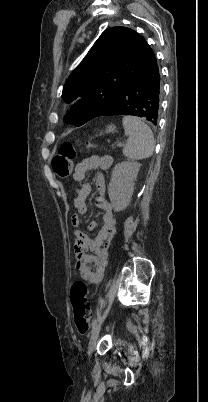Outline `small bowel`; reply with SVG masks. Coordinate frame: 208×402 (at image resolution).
I'll list each match as a JSON object with an SVG mask.
<instances>
[{
    "instance_id": "c3829d8e",
    "label": "small bowel",
    "mask_w": 208,
    "mask_h": 402,
    "mask_svg": "<svg viewBox=\"0 0 208 402\" xmlns=\"http://www.w3.org/2000/svg\"><path fill=\"white\" fill-rule=\"evenodd\" d=\"M113 160L109 156H92L77 163L73 179L77 182L85 180L87 172L92 169L99 168L106 170L111 167ZM95 185L98 190L97 205L103 211L102 227L93 243H90L86 235L79 229L80 218L78 214L87 212V198L91 193L92 187L89 183H85L77 188L75 195V206L78 214H73L71 223L75 228L73 235L75 238L74 254L76 258V266L81 275L90 283H99L103 279L104 269L108 255V245L110 240L116 233L117 221L111 205L106 200L104 193L106 188V180L103 173H98L95 178ZM97 227L96 221L89 223V229L94 230ZM91 250L89 254L87 249Z\"/></svg>"
}]
</instances>
